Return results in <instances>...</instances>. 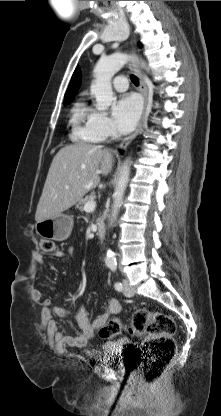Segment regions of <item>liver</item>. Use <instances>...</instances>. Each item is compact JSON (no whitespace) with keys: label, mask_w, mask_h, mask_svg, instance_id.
I'll return each instance as SVG.
<instances>
[{"label":"liver","mask_w":221,"mask_h":416,"mask_svg":"<svg viewBox=\"0 0 221 416\" xmlns=\"http://www.w3.org/2000/svg\"><path fill=\"white\" fill-rule=\"evenodd\" d=\"M112 153L100 145H67L54 156L35 213L36 222L53 218L97 187L99 174L113 167Z\"/></svg>","instance_id":"liver-1"}]
</instances>
